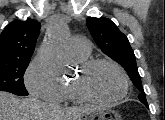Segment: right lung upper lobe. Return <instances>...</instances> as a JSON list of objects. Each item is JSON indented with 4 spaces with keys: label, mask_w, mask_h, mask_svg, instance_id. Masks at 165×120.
<instances>
[{
    "label": "right lung upper lobe",
    "mask_w": 165,
    "mask_h": 120,
    "mask_svg": "<svg viewBox=\"0 0 165 120\" xmlns=\"http://www.w3.org/2000/svg\"><path fill=\"white\" fill-rule=\"evenodd\" d=\"M34 19L12 21L0 34V59H30L40 33Z\"/></svg>",
    "instance_id": "obj_1"
}]
</instances>
